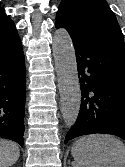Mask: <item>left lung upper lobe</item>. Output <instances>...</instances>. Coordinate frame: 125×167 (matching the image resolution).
I'll return each mask as SVG.
<instances>
[{"label":"left lung upper lobe","mask_w":125,"mask_h":167,"mask_svg":"<svg viewBox=\"0 0 125 167\" xmlns=\"http://www.w3.org/2000/svg\"><path fill=\"white\" fill-rule=\"evenodd\" d=\"M56 22L71 36L108 34L124 42L122 31L106 0H62Z\"/></svg>","instance_id":"5c2ea615"}]
</instances>
